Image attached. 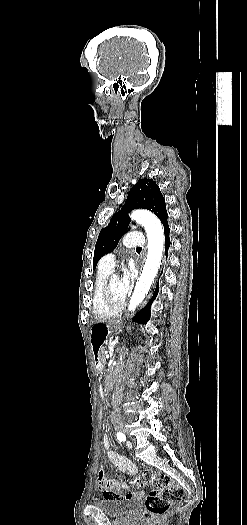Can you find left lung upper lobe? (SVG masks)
Segmentation results:
<instances>
[{
	"label": "left lung upper lobe",
	"instance_id": "left-lung-upper-lobe-1",
	"mask_svg": "<svg viewBox=\"0 0 247 525\" xmlns=\"http://www.w3.org/2000/svg\"><path fill=\"white\" fill-rule=\"evenodd\" d=\"M137 208L152 211L161 222L168 216L165 199L152 179H140L129 191L122 209L114 214L108 226L101 229L95 246L93 269L103 255L116 248L122 235L129 229V212Z\"/></svg>",
	"mask_w": 247,
	"mask_h": 525
}]
</instances>
